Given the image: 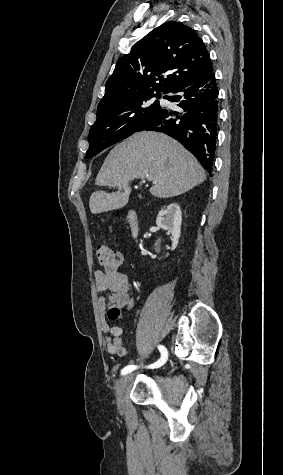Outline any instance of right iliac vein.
<instances>
[{
  "label": "right iliac vein",
  "mask_w": 283,
  "mask_h": 475,
  "mask_svg": "<svg viewBox=\"0 0 283 475\" xmlns=\"http://www.w3.org/2000/svg\"><path fill=\"white\" fill-rule=\"evenodd\" d=\"M131 380V375L130 374H127L125 376H123L117 383L116 385V393H115V396L117 398V401H118V407L121 409L123 407V401H122V398H123V395H124V392H125V389H126V386L128 385L129 381Z\"/></svg>",
  "instance_id": "obj_1"
}]
</instances>
